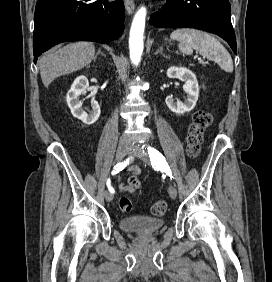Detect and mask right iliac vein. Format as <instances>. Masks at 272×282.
<instances>
[{"mask_svg": "<svg viewBox=\"0 0 272 282\" xmlns=\"http://www.w3.org/2000/svg\"><path fill=\"white\" fill-rule=\"evenodd\" d=\"M129 151V145L128 142L125 140H122L119 142L116 152V161L119 162ZM113 194L111 192L105 193V199L108 202H111L113 200Z\"/></svg>", "mask_w": 272, "mask_h": 282, "instance_id": "1", "label": "right iliac vein"}]
</instances>
